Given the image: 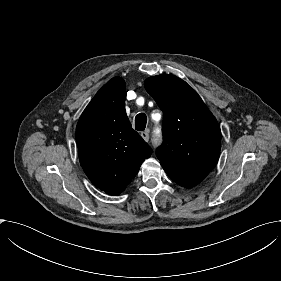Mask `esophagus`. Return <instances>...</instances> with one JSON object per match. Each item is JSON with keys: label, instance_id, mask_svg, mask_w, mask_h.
I'll use <instances>...</instances> for the list:
<instances>
[{"label": "esophagus", "instance_id": "1", "mask_svg": "<svg viewBox=\"0 0 281 281\" xmlns=\"http://www.w3.org/2000/svg\"><path fill=\"white\" fill-rule=\"evenodd\" d=\"M141 137H142L146 142H148L149 139H150L149 132H148V131H143V132H141Z\"/></svg>", "mask_w": 281, "mask_h": 281}]
</instances>
